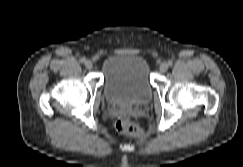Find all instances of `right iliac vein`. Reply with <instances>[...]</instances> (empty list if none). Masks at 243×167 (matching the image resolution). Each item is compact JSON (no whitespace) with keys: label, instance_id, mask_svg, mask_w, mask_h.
Instances as JSON below:
<instances>
[{"label":"right iliac vein","instance_id":"obj_1","mask_svg":"<svg viewBox=\"0 0 243 167\" xmlns=\"http://www.w3.org/2000/svg\"><path fill=\"white\" fill-rule=\"evenodd\" d=\"M85 67H86L87 69H92V67H93V63H92L90 60H87V61L85 62Z\"/></svg>","mask_w":243,"mask_h":167}]
</instances>
